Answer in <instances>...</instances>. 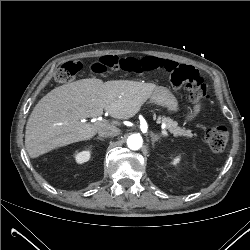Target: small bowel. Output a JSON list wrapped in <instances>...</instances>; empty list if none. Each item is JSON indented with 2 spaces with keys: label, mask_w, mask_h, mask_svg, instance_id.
I'll use <instances>...</instances> for the list:
<instances>
[{
  "label": "small bowel",
  "mask_w": 250,
  "mask_h": 250,
  "mask_svg": "<svg viewBox=\"0 0 250 250\" xmlns=\"http://www.w3.org/2000/svg\"><path fill=\"white\" fill-rule=\"evenodd\" d=\"M142 64L145 61H153L157 64V70H165L168 72H172L177 68V63L170 61V60H165V59H160L156 57H146L141 59Z\"/></svg>",
  "instance_id": "small-bowel-1"
}]
</instances>
